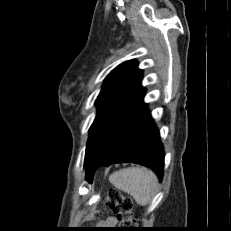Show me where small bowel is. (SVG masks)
Wrapping results in <instances>:
<instances>
[{
	"label": "small bowel",
	"mask_w": 231,
	"mask_h": 231,
	"mask_svg": "<svg viewBox=\"0 0 231 231\" xmlns=\"http://www.w3.org/2000/svg\"><path fill=\"white\" fill-rule=\"evenodd\" d=\"M107 222H108V224H110V225H114V224L117 223V219H116L115 217H109V218L107 219Z\"/></svg>",
	"instance_id": "1"
}]
</instances>
